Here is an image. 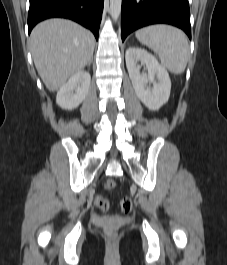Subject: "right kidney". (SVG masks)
Here are the masks:
<instances>
[{"instance_id": "ca27d5eb", "label": "right kidney", "mask_w": 227, "mask_h": 265, "mask_svg": "<svg viewBox=\"0 0 227 265\" xmlns=\"http://www.w3.org/2000/svg\"><path fill=\"white\" fill-rule=\"evenodd\" d=\"M91 76L88 72L81 70L75 73L59 89L56 103L63 109L72 110L78 107L88 94Z\"/></svg>"}]
</instances>
